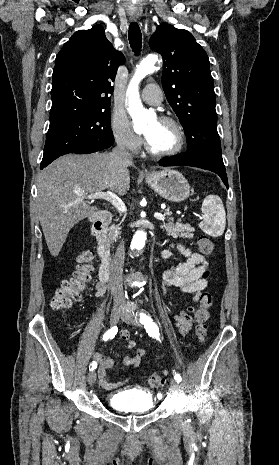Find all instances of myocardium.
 Segmentation results:
<instances>
[{"instance_id": "1", "label": "myocardium", "mask_w": 279, "mask_h": 465, "mask_svg": "<svg viewBox=\"0 0 279 465\" xmlns=\"http://www.w3.org/2000/svg\"><path fill=\"white\" fill-rule=\"evenodd\" d=\"M160 122L162 123H167V124H170L172 125L175 129H176V132H177V143L176 145L168 150V151H163V152H159V151H155L154 149L151 148V146L149 145L146 137L144 138V147H145V150L146 152L151 155L152 157H155V158H167V157H172V156H175L177 155L178 153H180L185 145V140H186V136H185V131H184V128L182 126V124L176 120L175 118L173 117H170V116H161L159 117L158 119Z\"/></svg>"}]
</instances>
